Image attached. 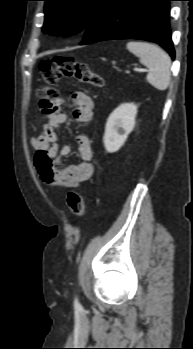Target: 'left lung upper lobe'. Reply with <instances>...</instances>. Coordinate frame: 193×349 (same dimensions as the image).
I'll list each match as a JSON object with an SVG mask.
<instances>
[{
    "instance_id": "5c2ea615",
    "label": "left lung upper lobe",
    "mask_w": 193,
    "mask_h": 349,
    "mask_svg": "<svg viewBox=\"0 0 193 349\" xmlns=\"http://www.w3.org/2000/svg\"><path fill=\"white\" fill-rule=\"evenodd\" d=\"M43 32L70 36L85 30L107 0H43Z\"/></svg>"
}]
</instances>
